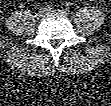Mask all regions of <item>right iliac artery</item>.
<instances>
[{"label":"right iliac artery","instance_id":"1","mask_svg":"<svg viewBox=\"0 0 111 106\" xmlns=\"http://www.w3.org/2000/svg\"><path fill=\"white\" fill-rule=\"evenodd\" d=\"M45 9H46L47 11H51V10L53 9V7H52L51 5H47V6L45 7Z\"/></svg>","mask_w":111,"mask_h":106}]
</instances>
